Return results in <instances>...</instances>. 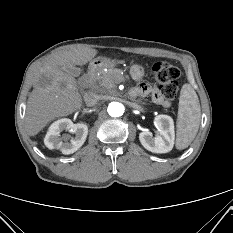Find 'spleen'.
Masks as SVG:
<instances>
[{"label": "spleen", "mask_w": 233, "mask_h": 233, "mask_svg": "<svg viewBox=\"0 0 233 233\" xmlns=\"http://www.w3.org/2000/svg\"><path fill=\"white\" fill-rule=\"evenodd\" d=\"M201 118L198 96L190 84L182 86L179 98L176 148H187L197 135Z\"/></svg>", "instance_id": "spleen-1"}]
</instances>
